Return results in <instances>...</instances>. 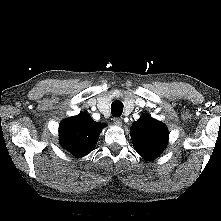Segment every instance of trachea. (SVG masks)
Instances as JSON below:
<instances>
[{"label": "trachea", "mask_w": 221, "mask_h": 221, "mask_svg": "<svg viewBox=\"0 0 221 221\" xmlns=\"http://www.w3.org/2000/svg\"><path fill=\"white\" fill-rule=\"evenodd\" d=\"M123 112V103L119 100L114 101L111 104V113L115 117H120Z\"/></svg>", "instance_id": "1"}]
</instances>
